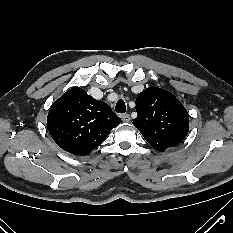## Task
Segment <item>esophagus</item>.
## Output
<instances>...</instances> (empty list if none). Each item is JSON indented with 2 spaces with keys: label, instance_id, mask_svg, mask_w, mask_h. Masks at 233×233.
<instances>
[{
  "label": "esophagus",
  "instance_id": "esophagus-1",
  "mask_svg": "<svg viewBox=\"0 0 233 233\" xmlns=\"http://www.w3.org/2000/svg\"><path fill=\"white\" fill-rule=\"evenodd\" d=\"M121 118H122V120H123V122H129L130 121V116H129V114H123L122 116H121Z\"/></svg>",
  "mask_w": 233,
  "mask_h": 233
}]
</instances>
